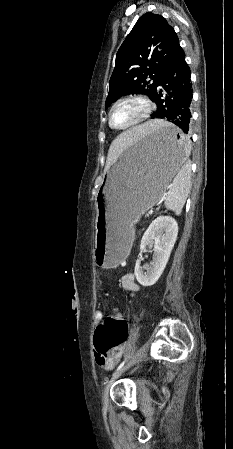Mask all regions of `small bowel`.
Segmentation results:
<instances>
[{
    "label": "small bowel",
    "instance_id": "small-bowel-1",
    "mask_svg": "<svg viewBox=\"0 0 233 449\" xmlns=\"http://www.w3.org/2000/svg\"><path fill=\"white\" fill-rule=\"evenodd\" d=\"M121 285L125 290L131 292L132 295L140 290V286L136 283L135 276L132 273H126L121 277ZM94 318L97 326H99L102 322L103 315L100 311H97ZM123 349L124 346H121L107 354L95 353L96 364L105 370H112L118 363L120 353Z\"/></svg>",
    "mask_w": 233,
    "mask_h": 449
}]
</instances>
